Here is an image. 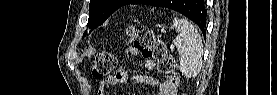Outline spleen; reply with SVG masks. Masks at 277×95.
<instances>
[{
	"mask_svg": "<svg viewBox=\"0 0 277 95\" xmlns=\"http://www.w3.org/2000/svg\"><path fill=\"white\" fill-rule=\"evenodd\" d=\"M171 29L178 33L174 44L180 56V69L187 78L195 77L202 67L203 44L197 29L187 20L175 18Z\"/></svg>",
	"mask_w": 277,
	"mask_h": 95,
	"instance_id": "1",
	"label": "spleen"
}]
</instances>
